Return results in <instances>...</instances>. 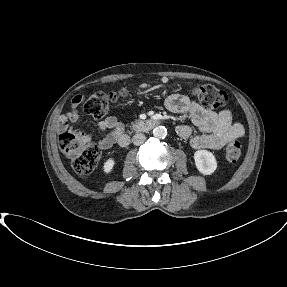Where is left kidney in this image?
<instances>
[{"label": "left kidney", "instance_id": "obj_1", "mask_svg": "<svg viewBox=\"0 0 287 287\" xmlns=\"http://www.w3.org/2000/svg\"><path fill=\"white\" fill-rule=\"evenodd\" d=\"M196 168L204 175L212 174L217 168V161L213 153L207 150H198L194 153Z\"/></svg>", "mask_w": 287, "mask_h": 287}]
</instances>
